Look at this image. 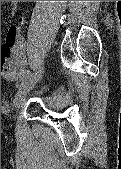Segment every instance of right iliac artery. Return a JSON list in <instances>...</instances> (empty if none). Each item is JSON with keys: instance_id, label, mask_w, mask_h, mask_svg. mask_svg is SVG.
<instances>
[{"instance_id": "obj_1", "label": "right iliac artery", "mask_w": 121, "mask_h": 169, "mask_svg": "<svg viewBox=\"0 0 121 169\" xmlns=\"http://www.w3.org/2000/svg\"><path fill=\"white\" fill-rule=\"evenodd\" d=\"M31 76L30 71H26L24 72V74L22 75L21 79L24 81L26 79H28Z\"/></svg>"}]
</instances>
